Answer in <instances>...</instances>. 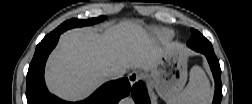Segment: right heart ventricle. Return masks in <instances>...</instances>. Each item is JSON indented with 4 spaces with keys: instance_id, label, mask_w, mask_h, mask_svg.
<instances>
[{
    "instance_id": "e07e8e85",
    "label": "right heart ventricle",
    "mask_w": 252,
    "mask_h": 104,
    "mask_svg": "<svg viewBox=\"0 0 252 104\" xmlns=\"http://www.w3.org/2000/svg\"><path fill=\"white\" fill-rule=\"evenodd\" d=\"M163 35H164L165 37H170V36H171V32H170V31H165V32L163 33Z\"/></svg>"
}]
</instances>
